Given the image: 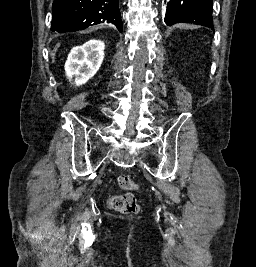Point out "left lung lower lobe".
I'll return each mask as SVG.
<instances>
[{
    "label": "left lung lower lobe",
    "instance_id": "left-lung-lower-lobe-1",
    "mask_svg": "<svg viewBox=\"0 0 256 267\" xmlns=\"http://www.w3.org/2000/svg\"><path fill=\"white\" fill-rule=\"evenodd\" d=\"M176 23H177V22H176ZM173 24H174V23H173ZM167 25H169V26H170V25H172V24H167Z\"/></svg>",
    "mask_w": 256,
    "mask_h": 267
}]
</instances>
